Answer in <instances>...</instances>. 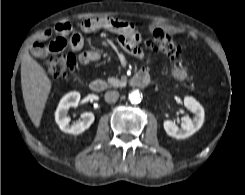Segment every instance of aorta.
I'll list each match as a JSON object with an SVG mask.
<instances>
[{
	"label": "aorta",
	"mask_w": 245,
	"mask_h": 195,
	"mask_svg": "<svg viewBox=\"0 0 245 195\" xmlns=\"http://www.w3.org/2000/svg\"><path fill=\"white\" fill-rule=\"evenodd\" d=\"M129 100L131 103L137 104L140 103L141 98H140V93L139 91H133L129 94Z\"/></svg>",
	"instance_id": "aorta-1"
}]
</instances>
